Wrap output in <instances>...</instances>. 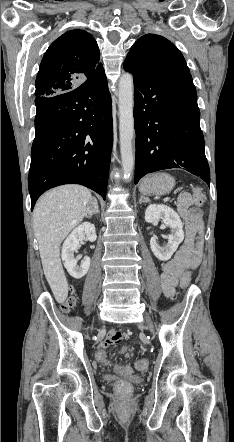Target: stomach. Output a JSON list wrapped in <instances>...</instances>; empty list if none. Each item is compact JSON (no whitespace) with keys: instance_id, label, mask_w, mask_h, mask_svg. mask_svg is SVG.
I'll return each mask as SVG.
<instances>
[{"instance_id":"0dacf381","label":"stomach","mask_w":234,"mask_h":442,"mask_svg":"<svg viewBox=\"0 0 234 442\" xmlns=\"http://www.w3.org/2000/svg\"><path fill=\"white\" fill-rule=\"evenodd\" d=\"M175 186V179L168 173L159 172L145 177L139 185L143 194L165 195Z\"/></svg>"}]
</instances>
